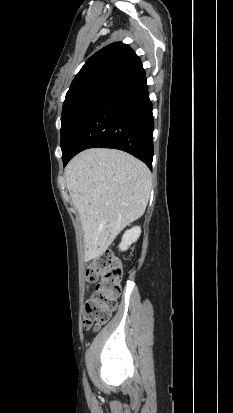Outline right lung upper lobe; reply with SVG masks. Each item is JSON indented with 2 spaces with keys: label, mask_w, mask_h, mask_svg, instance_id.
Returning a JSON list of instances; mask_svg holds the SVG:
<instances>
[{
  "label": "right lung upper lobe",
  "mask_w": 233,
  "mask_h": 413,
  "mask_svg": "<svg viewBox=\"0 0 233 413\" xmlns=\"http://www.w3.org/2000/svg\"><path fill=\"white\" fill-rule=\"evenodd\" d=\"M140 62L139 57L127 44L115 42L107 45L87 60L72 81L67 94L96 79H117Z\"/></svg>",
  "instance_id": "1"
}]
</instances>
